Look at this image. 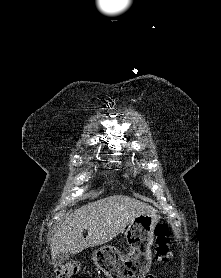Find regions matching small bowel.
<instances>
[{"label": "small bowel", "mask_w": 221, "mask_h": 278, "mask_svg": "<svg viewBox=\"0 0 221 278\" xmlns=\"http://www.w3.org/2000/svg\"><path fill=\"white\" fill-rule=\"evenodd\" d=\"M148 278H154L153 276H149Z\"/></svg>", "instance_id": "small-bowel-1"}]
</instances>
